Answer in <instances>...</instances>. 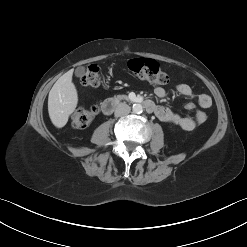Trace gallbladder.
Returning a JSON list of instances; mask_svg holds the SVG:
<instances>
[{
	"label": "gallbladder",
	"instance_id": "1",
	"mask_svg": "<svg viewBox=\"0 0 247 247\" xmlns=\"http://www.w3.org/2000/svg\"><path fill=\"white\" fill-rule=\"evenodd\" d=\"M85 72V68L84 67H78L76 70H75V74L77 76H81L82 74H84Z\"/></svg>",
	"mask_w": 247,
	"mask_h": 247
}]
</instances>
